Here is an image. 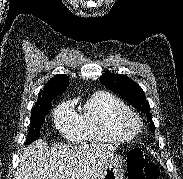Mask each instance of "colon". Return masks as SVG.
I'll use <instances>...</instances> for the list:
<instances>
[{
  "instance_id": "5ec220e1",
  "label": "colon",
  "mask_w": 183,
  "mask_h": 179,
  "mask_svg": "<svg viewBox=\"0 0 183 179\" xmlns=\"http://www.w3.org/2000/svg\"><path fill=\"white\" fill-rule=\"evenodd\" d=\"M159 170L138 148L132 149L127 157V179H158Z\"/></svg>"
}]
</instances>
